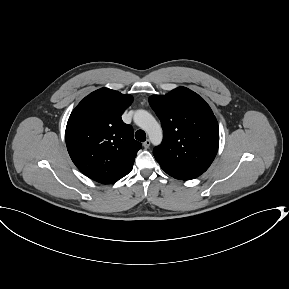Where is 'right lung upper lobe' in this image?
Wrapping results in <instances>:
<instances>
[{
  "label": "right lung upper lobe",
  "mask_w": 289,
  "mask_h": 289,
  "mask_svg": "<svg viewBox=\"0 0 289 289\" xmlns=\"http://www.w3.org/2000/svg\"><path fill=\"white\" fill-rule=\"evenodd\" d=\"M131 95L101 88L86 96L71 113L66 145L77 168L102 184L113 183L133 168L141 143L121 115L132 103Z\"/></svg>",
  "instance_id": "cb5924a9"
}]
</instances>
